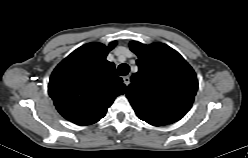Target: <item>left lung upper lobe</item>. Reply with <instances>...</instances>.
Wrapping results in <instances>:
<instances>
[{
    "mask_svg": "<svg viewBox=\"0 0 248 158\" xmlns=\"http://www.w3.org/2000/svg\"><path fill=\"white\" fill-rule=\"evenodd\" d=\"M130 49L138 56L139 71L132 75L126 95L137 116L154 126L180 120L190 110L198 89L192 67L162 43L131 41Z\"/></svg>",
    "mask_w": 248,
    "mask_h": 158,
    "instance_id": "5c2ea615",
    "label": "left lung upper lobe"
}]
</instances>
